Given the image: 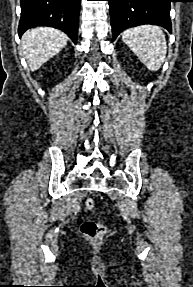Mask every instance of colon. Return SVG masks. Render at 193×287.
Returning <instances> with one entry per match:
<instances>
[{
  "label": "colon",
  "instance_id": "colon-1",
  "mask_svg": "<svg viewBox=\"0 0 193 287\" xmlns=\"http://www.w3.org/2000/svg\"><path fill=\"white\" fill-rule=\"evenodd\" d=\"M86 208L92 210L94 208V202L91 199L86 200ZM82 234L91 239L99 240L105 233L106 225L102 219L87 220L81 224Z\"/></svg>",
  "mask_w": 193,
  "mask_h": 287
}]
</instances>
